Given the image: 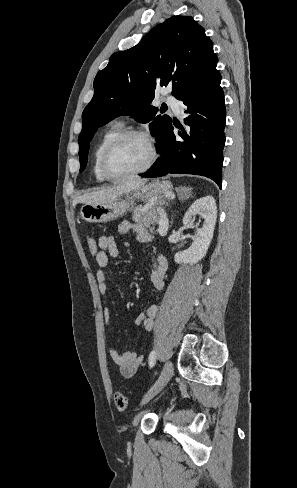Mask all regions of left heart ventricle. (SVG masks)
Returning <instances> with one entry per match:
<instances>
[{
  "label": "left heart ventricle",
  "instance_id": "obj_1",
  "mask_svg": "<svg viewBox=\"0 0 297 488\" xmlns=\"http://www.w3.org/2000/svg\"><path fill=\"white\" fill-rule=\"evenodd\" d=\"M150 156L148 142L140 137L125 140L117 146L108 159L111 173L120 175L142 167Z\"/></svg>",
  "mask_w": 297,
  "mask_h": 488
}]
</instances>
